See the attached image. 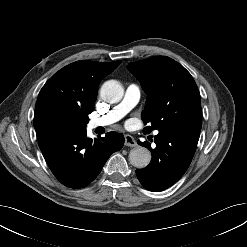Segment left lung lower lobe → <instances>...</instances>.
I'll use <instances>...</instances> for the list:
<instances>
[{"mask_svg":"<svg viewBox=\"0 0 247 247\" xmlns=\"http://www.w3.org/2000/svg\"><path fill=\"white\" fill-rule=\"evenodd\" d=\"M200 136V130H194L182 124H173L159 131L154 137L156 147L148 142L138 143L151 151L150 164L137 169L141 184L150 191L159 192L177 182L189 167Z\"/></svg>","mask_w":247,"mask_h":247,"instance_id":"0a47b994","label":"left lung lower lobe"}]
</instances>
